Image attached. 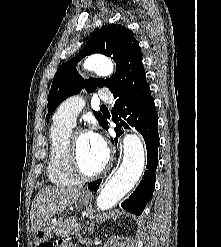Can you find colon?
<instances>
[{"mask_svg":"<svg viewBox=\"0 0 221 247\" xmlns=\"http://www.w3.org/2000/svg\"><path fill=\"white\" fill-rule=\"evenodd\" d=\"M39 247H56V245H54L53 243H42Z\"/></svg>","mask_w":221,"mask_h":247,"instance_id":"5ec220e1","label":"colon"}]
</instances>
